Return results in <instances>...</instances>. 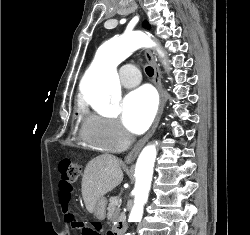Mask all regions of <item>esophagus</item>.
Returning a JSON list of instances; mask_svg holds the SVG:
<instances>
[{"label": "esophagus", "mask_w": 250, "mask_h": 235, "mask_svg": "<svg viewBox=\"0 0 250 235\" xmlns=\"http://www.w3.org/2000/svg\"><path fill=\"white\" fill-rule=\"evenodd\" d=\"M144 53H145V57L147 61L152 65L154 69V84L159 92V98H160L159 107H158V111L154 119V122L152 126L150 127L149 131L147 132V134L138 141V143L134 146V148L125 157L124 161L126 163H131L136 159V157L138 156L143 146L146 144V142L150 139V137L155 132L159 124L160 118L162 116L165 102H166L165 91L161 82V74H160L159 66L157 64V60L155 59V57L153 56L150 50L146 49Z\"/></svg>", "instance_id": "obj_1"}]
</instances>
